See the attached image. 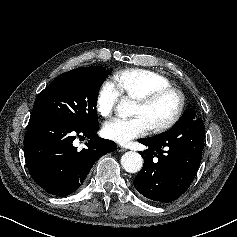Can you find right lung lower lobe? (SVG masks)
<instances>
[{
  "mask_svg": "<svg viewBox=\"0 0 237 237\" xmlns=\"http://www.w3.org/2000/svg\"><path fill=\"white\" fill-rule=\"evenodd\" d=\"M99 123L74 125L42 114H32L24 137L25 161L33 180L50 194L65 197L86 179L94 163L113 152L116 144L96 134ZM76 137H87L77 150Z\"/></svg>",
  "mask_w": 237,
  "mask_h": 237,
  "instance_id": "1",
  "label": "right lung lower lobe"
}]
</instances>
